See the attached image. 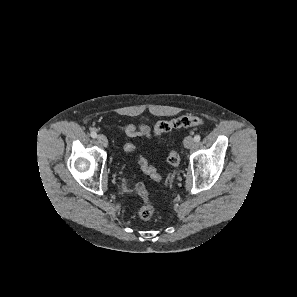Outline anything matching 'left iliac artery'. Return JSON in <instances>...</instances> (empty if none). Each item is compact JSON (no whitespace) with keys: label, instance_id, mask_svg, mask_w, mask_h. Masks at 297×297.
Segmentation results:
<instances>
[{"label":"left iliac artery","instance_id":"44dca946","mask_svg":"<svg viewBox=\"0 0 297 297\" xmlns=\"http://www.w3.org/2000/svg\"><path fill=\"white\" fill-rule=\"evenodd\" d=\"M200 139H201L200 135H195V136H194V141H195V142H199Z\"/></svg>","mask_w":297,"mask_h":297}]
</instances>
